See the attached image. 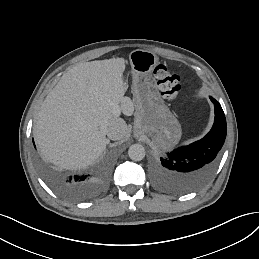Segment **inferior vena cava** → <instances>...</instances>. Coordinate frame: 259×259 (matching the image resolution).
Segmentation results:
<instances>
[{"label": "inferior vena cava", "mask_w": 259, "mask_h": 259, "mask_svg": "<svg viewBox=\"0 0 259 259\" xmlns=\"http://www.w3.org/2000/svg\"><path fill=\"white\" fill-rule=\"evenodd\" d=\"M100 131L105 133L111 140H120L126 135L127 128L125 122L118 118L102 124Z\"/></svg>", "instance_id": "1"}]
</instances>
